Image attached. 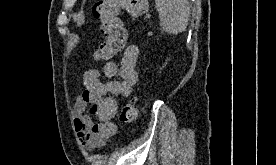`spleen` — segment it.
<instances>
[{
    "mask_svg": "<svg viewBox=\"0 0 276 165\" xmlns=\"http://www.w3.org/2000/svg\"><path fill=\"white\" fill-rule=\"evenodd\" d=\"M160 26L168 34L185 31L190 18L188 0H155Z\"/></svg>",
    "mask_w": 276,
    "mask_h": 165,
    "instance_id": "3e777b00",
    "label": "spleen"
}]
</instances>
